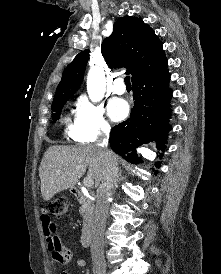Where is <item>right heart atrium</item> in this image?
Masks as SVG:
<instances>
[{"mask_svg":"<svg viewBox=\"0 0 221 274\" xmlns=\"http://www.w3.org/2000/svg\"><path fill=\"white\" fill-rule=\"evenodd\" d=\"M78 104V112L71 129L74 140L87 143L109 133L111 127L101 105L90 102L85 97H81Z\"/></svg>","mask_w":221,"mask_h":274,"instance_id":"1","label":"right heart atrium"}]
</instances>
